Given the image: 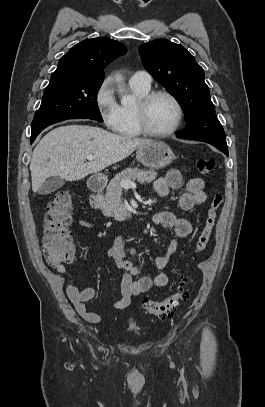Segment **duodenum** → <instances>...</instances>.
<instances>
[{
  "label": "duodenum",
  "mask_w": 265,
  "mask_h": 407,
  "mask_svg": "<svg viewBox=\"0 0 265 407\" xmlns=\"http://www.w3.org/2000/svg\"><path fill=\"white\" fill-rule=\"evenodd\" d=\"M88 186H89V189H90L91 192H92V196H91V198H90V202H91V204H92L93 206H96V205H97V201H98L97 194L100 193V192L103 190V188H104V183H103L101 180L97 179V178H91V179L89 180V182H88Z\"/></svg>",
  "instance_id": "obj_1"
}]
</instances>
